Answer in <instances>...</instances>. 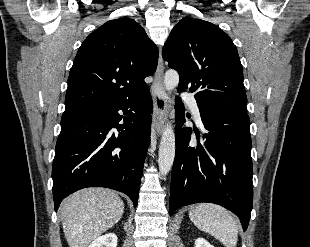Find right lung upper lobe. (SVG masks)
<instances>
[{"label": "right lung upper lobe", "mask_w": 310, "mask_h": 247, "mask_svg": "<svg viewBox=\"0 0 310 247\" xmlns=\"http://www.w3.org/2000/svg\"><path fill=\"white\" fill-rule=\"evenodd\" d=\"M158 49L133 19L104 23L80 46L69 73L65 110L131 99L149 88L144 78Z\"/></svg>", "instance_id": "obj_1"}]
</instances>
